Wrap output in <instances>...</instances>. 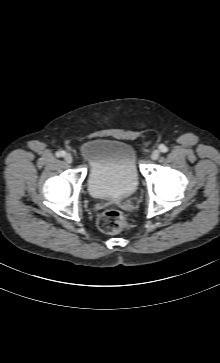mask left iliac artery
<instances>
[{"instance_id": "left-iliac-artery-1", "label": "left iliac artery", "mask_w": 220, "mask_h": 363, "mask_svg": "<svg viewBox=\"0 0 220 363\" xmlns=\"http://www.w3.org/2000/svg\"><path fill=\"white\" fill-rule=\"evenodd\" d=\"M159 149H160V151H161L162 153H166V152H168V148H167L165 145H160V146H159Z\"/></svg>"}]
</instances>
